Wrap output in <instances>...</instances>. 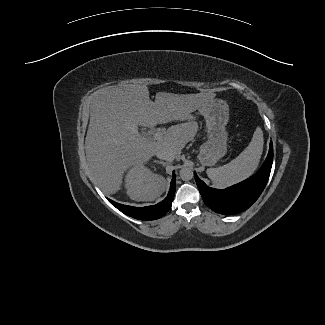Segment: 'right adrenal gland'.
Here are the masks:
<instances>
[{
	"instance_id": "obj_1",
	"label": "right adrenal gland",
	"mask_w": 325,
	"mask_h": 325,
	"mask_svg": "<svg viewBox=\"0 0 325 325\" xmlns=\"http://www.w3.org/2000/svg\"><path fill=\"white\" fill-rule=\"evenodd\" d=\"M153 162L154 163H158V164H162V166H166L167 165V162H164V161L154 160Z\"/></svg>"
}]
</instances>
